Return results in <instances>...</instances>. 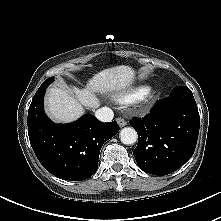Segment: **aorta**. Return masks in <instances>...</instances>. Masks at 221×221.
Returning <instances> with one entry per match:
<instances>
[{
  "label": "aorta",
  "instance_id": "762f6f07",
  "mask_svg": "<svg viewBox=\"0 0 221 221\" xmlns=\"http://www.w3.org/2000/svg\"><path fill=\"white\" fill-rule=\"evenodd\" d=\"M137 138V132L132 127H125L120 131V140L123 144H134L137 141Z\"/></svg>",
  "mask_w": 221,
  "mask_h": 221
}]
</instances>
